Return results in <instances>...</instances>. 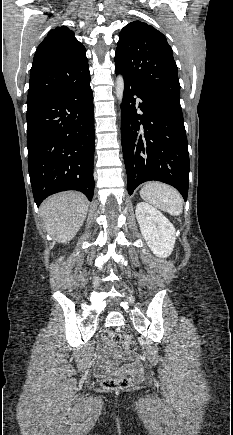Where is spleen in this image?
Returning a JSON list of instances; mask_svg holds the SVG:
<instances>
[{
    "label": "spleen",
    "instance_id": "obj_1",
    "mask_svg": "<svg viewBox=\"0 0 233 435\" xmlns=\"http://www.w3.org/2000/svg\"><path fill=\"white\" fill-rule=\"evenodd\" d=\"M140 196L155 207L179 216L183 212V199L179 192L161 182H148L140 190Z\"/></svg>",
    "mask_w": 233,
    "mask_h": 435
}]
</instances>
